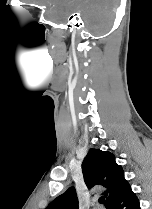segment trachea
<instances>
[{"mask_svg":"<svg viewBox=\"0 0 152 209\" xmlns=\"http://www.w3.org/2000/svg\"><path fill=\"white\" fill-rule=\"evenodd\" d=\"M105 202V198L103 197V196H101L100 198H99V203L100 204H103Z\"/></svg>","mask_w":152,"mask_h":209,"instance_id":"3493384b","label":"trachea"}]
</instances>
